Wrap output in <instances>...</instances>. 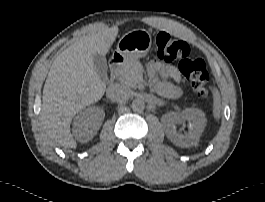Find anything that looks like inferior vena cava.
<instances>
[{
	"mask_svg": "<svg viewBox=\"0 0 265 202\" xmlns=\"http://www.w3.org/2000/svg\"><path fill=\"white\" fill-rule=\"evenodd\" d=\"M131 91L124 85L112 84L106 90V96L113 102H123L129 99Z\"/></svg>",
	"mask_w": 265,
	"mask_h": 202,
	"instance_id": "1",
	"label": "inferior vena cava"
}]
</instances>
